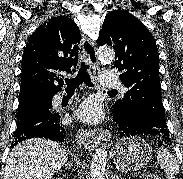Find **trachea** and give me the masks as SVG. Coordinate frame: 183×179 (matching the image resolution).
Wrapping results in <instances>:
<instances>
[{"mask_svg":"<svg viewBox=\"0 0 183 179\" xmlns=\"http://www.w3.org/2000/svg\"><path fill=\"white\" fill-rule=\"evenodd\" d=\"M88 65L85 62L81 63V67L78 71V74L75 78L66 79V90L75 91L80 84L85 83L89 87H93L94 84L91 81L90 75L87 73ZM115 92L116 90H111Z\"/></svg>","mask_w":183,"mask_h":179,"instance_id":"trachea-1","label":"trachea"}]
</instances>
